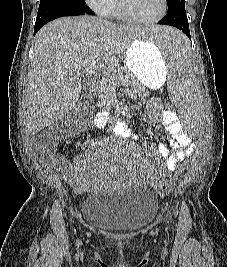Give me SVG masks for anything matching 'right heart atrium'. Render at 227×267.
I'll return each instance as SVG.
<instances>
[{
    "instance_id": "right-heart-atrium-1",
    "label": "right heart atrium",
    "mask_w": 227,
    "mask_h": 267,
    "mask_svg": "<svg viewBox=\"0 0 227 267\" xmlns=\"http://www.w3.org/2000/svg\"><path fill=\"white\" fill-rule=\"evenodd\" d=\"M92 10L101 16H108L113 9L116 0H84Z\"/></svg>"
}]
</instances>
